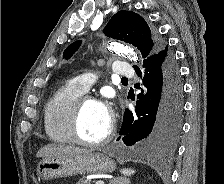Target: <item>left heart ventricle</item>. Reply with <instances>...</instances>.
<instances>
[{"instance_id":"b2bd125f","label":"left heart ventricle","mask_w":224,"mask_h":184,"mask_svg":"<svg viewBox=\"0 0 224 184\" xmlns=\"http://www.w3.org/2000/svg\"><path fill=\"white\" fill-rule=\"evenodd\" d=\"M110 113L101 103L88 102L81 114L79 132L82 138L97 141L103 138L109 129Z\"/></svg>"}]
</instances>
